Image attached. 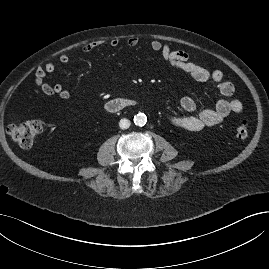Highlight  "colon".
<instances>
[{
    "mask_svg": "<svg viewBox=\"0 0 269 269\" xmlns=\"http://www.w3.org/2000/svg\"><path fill=\"white\" fill-rule=\"evenodd\" d=\"M42 123L40 121L12 122L8 125L7 132L10 137L23 148H29L39 137L42 131ZM248 128L245 123H240L236 128V136L239 139L248 137Z\"/></svg>",
    "mask_w": 269,
    "mask_h": 269,
    "instance_id": "obj_1",
    "label": "colon"
}]
</instances>
